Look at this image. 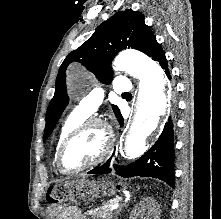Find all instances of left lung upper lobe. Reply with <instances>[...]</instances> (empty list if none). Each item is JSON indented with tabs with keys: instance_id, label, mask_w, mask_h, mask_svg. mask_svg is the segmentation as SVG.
I'll list each match as a JSON object with an SVG mask.
<instances>
[{
	"instance_id": "1",
	"label": "left lung upper lobe",
	"mask_w": 221,
	"mask_h": 219,
	"mask_svg": "<svg viewBox=\"0 0 221 219\" xmlns=\"http://www.w3.org/2000/svg\"><path fill=\"white\" fill-rule=\"evenodd\" d=\"M159 45L150 26L144 23L143 14L132 9L118 11L101 23L85 43L67 55L60 66L56 78L55 94L46 113L44 140L50 136L69 102L65 71L71 62H80L101 82L108 83L113 75L112 59L120 50L131 47L152 56ZM112 108L120 120L122 118L120 110L115 105H112Z\"/></svg>"
}]
</instances>
